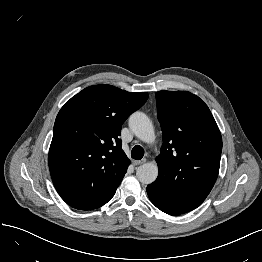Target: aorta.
<instances>
[{"instance_id": "aorta-1", "label": "aorta", "mask_w": 262, "mask_h": 262, "mask_svg": "<svg viewBox=\"0 0 262 262\" xmlns=\"http://www.w3.org/2000/svg\"><path fill=\"white\" fill-rule=\"evenodd\" d=\"M129 127L135 136L143 142L152 143L154 141V127L146 114L134 112L129 118ZM136 176L143 184L153 183L158 177L157 164L152 162L144 163L137 168Z\"/></svg>"}]
</instances>
